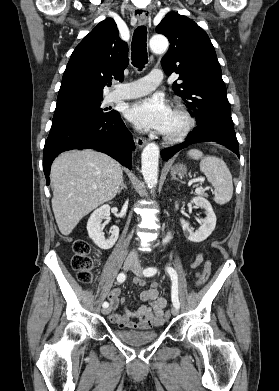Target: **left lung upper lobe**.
Instances as JSON below:
<instances>
[{"label": "left lung upper lobe", "instance_id": "1", "mask_svg": "<svg viewBox=\"0 0 279 391\" xmlns=\"http://www.w3.org/2000/svg\"><path fill=\"white\" fill-rule=\"evenodd\" d=\"M170 42L161 60L165 73L179 74L172 88L187 104L197 126L217 121L234 126L226 86L214 47L207 33L193 20L169 13L156 27Z\"/></svg>", "mask_w": 279, "mask_h": 391}]
</instances>
